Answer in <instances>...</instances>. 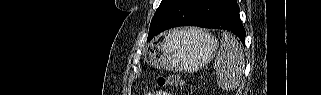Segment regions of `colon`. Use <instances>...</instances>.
Wrapping results in <instances>:
<instances>
[{
  "instance_id": "5ec220e1",
  "label": "colon",
  "mask_w": 321,
  "mask_h": 95,
  "mask_svg": "<svg viewBox=\"0 0 321 95\" xmlns=\"http://www.w3.org/2000/svg\"><path fill=\"white\" fill-rule=\"evenodd\" d=\"M156 84L159 86L164 85H180L183 84V80L178 75H160L156 78Z\"/></svg>"
}]
</instances>
